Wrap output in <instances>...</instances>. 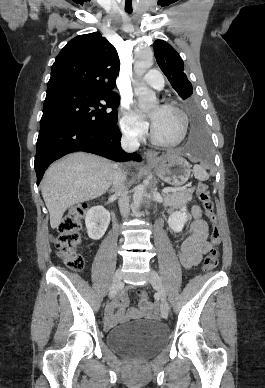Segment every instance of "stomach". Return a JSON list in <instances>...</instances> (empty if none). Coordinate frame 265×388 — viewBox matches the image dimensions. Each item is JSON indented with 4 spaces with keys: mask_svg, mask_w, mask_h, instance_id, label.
Returning <instances> with one entry per match:
<instances>
[{
    "mask_svg": "<svg viewBox=\"0 0 265 388\" xmlns=\"http://www.w3.org/2000/svg\"><path fill=\"white\" fill-rule=\"evenodd\" d=\"M148 163L159 178L176 187L185 184L191 173L189 163L175 153L150 158Z\"/></svg>",
    "mask_w": 265,
    "mask_h": 388,
    "instance_id": "obj_1",
    "label": "stomach"
}]
</instances>
